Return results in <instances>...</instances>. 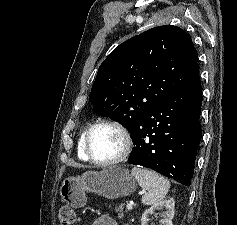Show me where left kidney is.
Wrapping results in <instances>:
<instances>
[{
  "label": "left kidney",
  "instance_id": "5707ae66",
  "mask_svg": "<svg viewBox=\"0 0 237 225\" xmlns=\"http://www.w3.org/2000/svg\"><path fill=\"white\" fill-rule=\"evenodd\" d=\"M174 207L175 201L173 198L154 204L142 214L141 225H148L149 216L152 215L155 210H163V208H165L166 211L160 213V216L162 217L160 219L161 225H173L172 219L174 217Z\"/></svg>",
  "mask_w": 237,
  "mask_h": 225
}]
</instances>
